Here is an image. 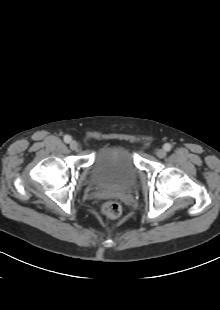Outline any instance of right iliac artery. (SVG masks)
Listing matches in <instances>:
<instances>
[{"mask_svg": "<svg viewBox=\"0 0 220 310\" xmlns=\"http://www.w3.org/2000/svg\"><path fill=\"white\" fill-rule=\"evenodd\" d=\"M71 140H72L71 136H69V135L64 136V141L66 143H70Z\"/></svg>", "mask_w": 220, "mask_h": 310, "instance_id": "right-iliac-artery-1", "label": "right iliac artery"}]
</instances>
